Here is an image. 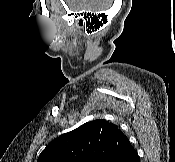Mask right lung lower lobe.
I'll list each match as a JSON object with an SVG mask.
<instances>
[{"label":"right lung lower lobe","mask_w":175,"mask_h":162,"mask_svg":"<svg viewBox=\"0 0 175 162\" xmlns=\"http://www.w3.org/2000/svg\"><path fill=\"white\" fill-rule=\"evenodd\" d=\"M112 162H140L137 151L132 148L125 154L117 156Z\"/></svg>","instance_id":"98d812e1"}]
</instances>
